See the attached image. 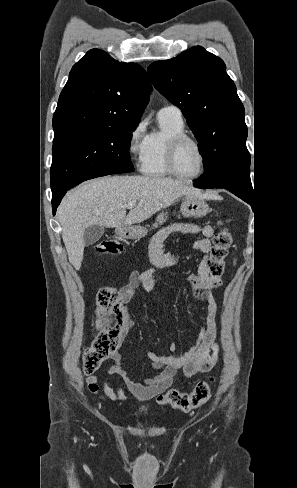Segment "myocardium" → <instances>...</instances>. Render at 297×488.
I'll use <instances>...</instances> for the list:
<instances>
[{"instance_id": "myocardium-1", "label": "myocardium", "mask_w": 297, "mask_h": 488, "mask_svg": "<svg viewBox=\"0 0 297 488\" xmlns=\"http://www.w3.org/2000/svg\"><path fill=\"white\" fill-rule=\"evenodd\" d=\"M186 142L193 143L196 146V148L198 149V151L200 153V157H201L200 168L196 173H194L192 175H184V174L180 173L177 169V166H176L177 153H178L180 147ZM165 163H166V167L169 170L170 174H172L173 176H175L179 179H182V180H193V179L200 177L206 170V164H207L206 150L203 147V145L196 138H194L193 136H190L186 133H182V134H179V135L172 137L169 140V142L167 144V148H166Z\"/></svg>"}]
</instances>
